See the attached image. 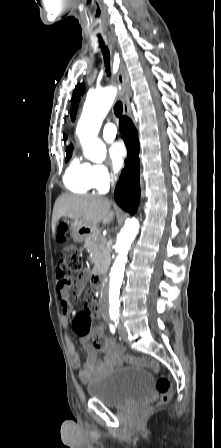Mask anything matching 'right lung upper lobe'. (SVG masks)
Wrapping results in <instances>:
<instances>
[{
	"label": "right lung upper lobe",
	"mask_w": 221,
	"mask_h": 448,
	"mask_svg": "<svg viewBox=\"0 0 221 448\" xmlns=\"http://www.w3.org/2000/svg\"><path fill=\"white\" fill-rule=\"evenodd\" d=\"M66 139H67V137L64 135V140H66ZM72 148H73L72 145H70L69 147H67V149H66V153H70L71 150H72Z\"/></svg>",
	"instance_id": "1"
}]
</instances>
